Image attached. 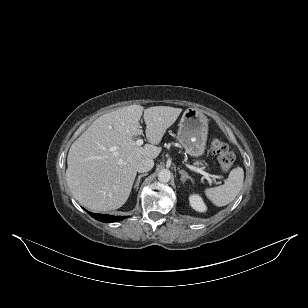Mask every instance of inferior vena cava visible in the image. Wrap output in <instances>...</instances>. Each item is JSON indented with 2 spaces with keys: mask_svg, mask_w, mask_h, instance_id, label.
I'll return each mask as SVG.
<instances>
[{
  "mask_svg": "<svg viewBox=\"0 0 308 308\" xmlns=\"http://www.w3.org/2000/svg\"><path fill=\"white\" fill-rule=\"evenodd\" d=\"M154 166V161L151 158H142L139 163L137 164V171L142 172H148L150 171Z\"/></svg>",
  "mask_w": 308,
  "mask_h": 308,
  "instance_id": "inferior-vena-cava-1",
  "label": "inferior vena cava"
}]
</instances>
